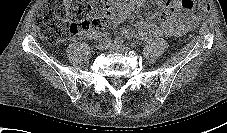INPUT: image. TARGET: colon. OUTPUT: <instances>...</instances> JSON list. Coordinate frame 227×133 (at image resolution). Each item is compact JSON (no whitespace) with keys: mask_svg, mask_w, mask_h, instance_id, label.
Wrapping results in <instances>:
<instances>
[{"mask_svg":"<svg viewBox=\"0 0 227 133\" xmlns=\"http://www.w3.org/2000/svg\"><path fill=\"white\" fill-rule=\"evenodd\" d=\"M181 5L199 16L209 12V0H181ZM119 9L111 0H46L39 9L36 23L40 36L47 42L57 44L65 41L71 33L100 30L116 17Z\"/></svg>","mask_w":227,"mask_h":133,"instance_id":"1","label":"colon"}]
</instances>
